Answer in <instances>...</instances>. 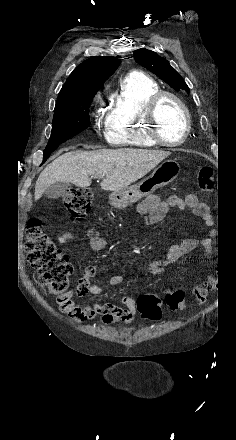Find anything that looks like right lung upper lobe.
Segmentation results:
<instances>
[{"label": "right lung upper lobe", "mask_w": 236, "mask_h": 440, "mask_svg": "<svg viewBox=\"0 0 236 440\" xmlns=\"http://www.w3.org/2000/svg\"><path fill=\"white\" fill-rule=\"evenodd\" d=\"M116 57L95 56L82 62L63 85L56 104L96 93L118 68Z\"/></svg>", "instance_id": "obj_1"}]
</instances>
